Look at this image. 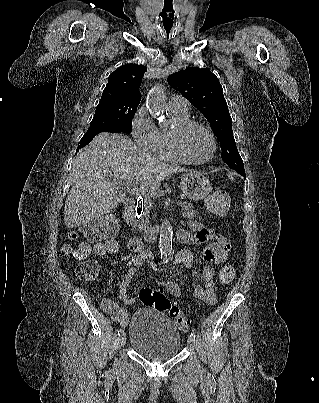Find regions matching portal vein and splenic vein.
Returning a JSON list of instances; mask_svg holds the SVG:
<instances>
[{
    "label": "portal vein and splenic vein",
    "instance_id": "1",
    "mask_svg": "<svg viewBox=\"0 0 319 403\" xmlns=\"http://www.w3.org/2000/svg\"><path fill=\"white\" fill-rule=\"evenodd\" d=\"M138 181H136V182H124V183H122L121 184V186H123L128 192H132V193H136V194H139V193H141V194H143L145 197L147 196L148 197V194H146V193H144L143 191H141L139 188H138ZM148 201H150V200H148ZM177 205L178 206H182V205H184V203L183 202H181V201H178L177 202Z\"/></svg>",
    "mask_w": 319,
    "mask_h": 403
}]
</instances>
